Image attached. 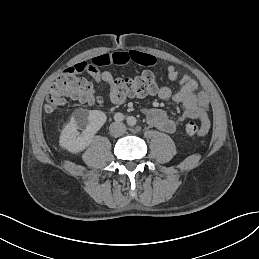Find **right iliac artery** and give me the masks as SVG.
Returning a JSON list of instances; mask_svg holds the SVG:
<instances>
[{
    "mask_svg": "<svg viewBox=\"0 0 259 259\" xmlns=\"http://www.w3.org/2000/svg\"><path fill=\"white\" fill-rule=\"evenodd\" d=\"M114 120L117 122H121L124 120V115L122 113H116L114 115Z\"/></svg>",
    "mask_w": 259,
    "mask_h": 259,
    "instance_id": "82829eb1",
    "label": "right iliac artery"
}]
</instances>
